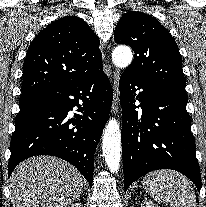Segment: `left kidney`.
I'll list each match as a JSON object with an SVG mask.
<instances>
[{
    "label": "left kidney",
    "mask_w": 206,
    "mask_h": 207,
    "mask_svg": "<svg viewBox=\"0 0 206 207\" xmlns=\"http://www.w3.org/2000/svg\"><path fill=\"white\" fill-rule=\"evenodd\" d=\"M141 207H158L157 205H155L153 202L149 201V200H145L142 204Z\"/></svg>",
    "instance_id": "1"
}]
</instances>
